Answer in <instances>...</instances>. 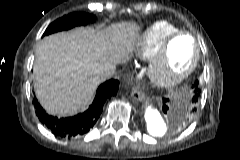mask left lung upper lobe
Returning <instances> with one entry per match:
<instances>
[{
    "mask_svg": "<svg viewBox=\"0 0 240 160\" xmlns=\"http://www.w3.org/2000/svg\"><path fill=\"white\" fill-rule=\"evenodd\" d=\"M194 86H198V81H196L195 85Z\"/></svg>",
    "mask_w": 240,
    "mask_h": 160,
    "instance_id": "1",
    "label": "left lung upper lobe"
}]
</instances>
